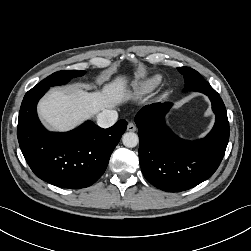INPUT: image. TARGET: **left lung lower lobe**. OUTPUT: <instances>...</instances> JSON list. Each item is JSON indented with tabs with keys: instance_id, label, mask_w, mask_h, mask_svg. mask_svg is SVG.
<instances>
[{
	"instance_id": "0a47b994",
	"label": "left lung lower lobe",
	"mask_w": 251,
	"mask_h": 251,
	"mask_svg": "<svg viewBox=\"0 0 251 251\" xmlns=\"http://www.w3.org/2000/svg\"><path fill=\"white\" fill-rule=\"evenodd\" d=\"M186 89L204 93L211 100L216 121L204 139L183 140L166 126L164 117L172 106L170 102L147 105L135 117L142 173L163 191H185L211 177L229 140V122L220 95L208 82Z\"/></svg>"
}]
</instances>
